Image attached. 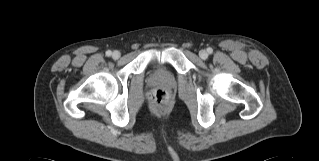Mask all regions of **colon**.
Instances as JSON below:
<instances>
[{
	"instance_id": "5ec220e1",
	"label": "colon",
	"mask_w": 319,
	"mask_h": 161,
	"mask_svg": "<svg viewBox=\"0 0 319 161\" xmlns=\"http://www.w3.org/2000/svg\"><path fill=\"white\" fill-rule=\"evenodd\" d=\"M150 104L155 110L168 109L171 105V98L168 90L158 88L153 90L149 96Z\"/></svg>"
}]
</instances>
